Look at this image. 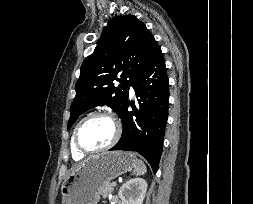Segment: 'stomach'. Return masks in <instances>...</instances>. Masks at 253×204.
Instances as JSON below:
<instances>
[{"mask_svg": "<svg viewBox=\"0 0 253 204\" xmlns=\"http://www.w3.org/2000/svg\"><path fill=\"white\" fill-rule=\"evenodd\" d=\"M130 152H104L76 166L62 183V204H97L99 190L116 177L134 168Z\"/></svg>", "mask_w": 253, "mask_h": 204, "instance_id": "0dacf381", "label": "stomach"}]
</instances>
